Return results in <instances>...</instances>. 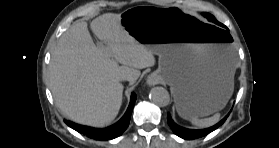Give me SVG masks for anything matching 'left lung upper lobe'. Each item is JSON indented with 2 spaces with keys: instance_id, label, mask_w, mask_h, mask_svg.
Segmentation results:
<instances>
[{
  "instance_id": "obj_1",
  "label": "left lung upper lobe",
  "mask_w": 279,
  "mask_h": 148,
  "mask_svg": "<svg viewBox=\"0 0 279 148\" xmlns=\"http://www.w3.org/2000/svg\"><path fill=\"white\" fill-rule=\"evenodd\" d=\"M203 14V16H205L209 21H211V22H213V23H215V24H217V25H221V23H219L215 18H214V16H212L211 14H209V13H202ZM222 26H224V25H222Z\"/></svg>"
}]
</instances>
